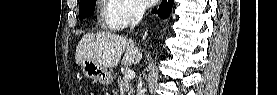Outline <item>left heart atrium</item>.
Wrapping results in <instances>:
<instances>
[{"instance_id": "1", "label": "left heart atrium", "mask_w": 277, "mask_h": 95, "mask_svg": "<svg viewBox=\"0 0 277 95\" xmlns=\"http://www.w3.org/2000/svg\"><path fill=\"white\" fill-rule=\"evenodd\" d=\"M141 2L146 5H152L154 3V0H141Z\"/></svg>"}]
</instances>
